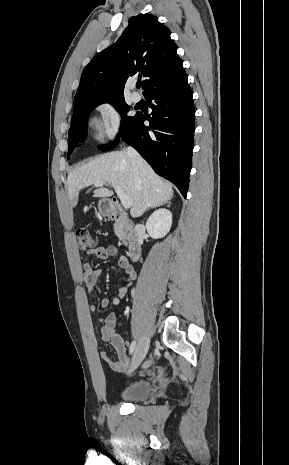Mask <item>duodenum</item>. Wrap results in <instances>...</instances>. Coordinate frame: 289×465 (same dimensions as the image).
I'll return each instance as SVG.
<instances>
[{
    "instance_id": "duodenum-1",
    "label": "duodenum",
    "mask_w": 289,
    "mask_h": 465,
    "mask_svg": "<svg viewBox=\"0 0 289 465\" xmlns=\"http://www.w3.org/2000/svg\"><path fill=\"white\" fill-rule=\"evenodd\" d=\"M104 211L110 219L117 221L123 228L128 240V256L131 261H137L142 252V239L127 214L121 208L118 200L115 198L109 200Z\"/></svg>"
}]
</instances>
